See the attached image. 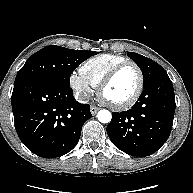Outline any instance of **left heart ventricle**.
<instances>
[{
    "label": "left heart ventricle",
    "mask_w": 193,
    "mask_h": 193,
    "mask_svg": "<svg viewBox=\"0 0 193 193\" xmlns=\"http://www.w3.org/2000/svg\"><path fill=\"white\" fill-rule=\"evenodd\" d=\"M139 78L133 67L120 71L103 92L104 98L111 103H122L136 91Z\"/></svg>",
    "instance_id": "left-heart-ventricle-1"
}]
</instances>
